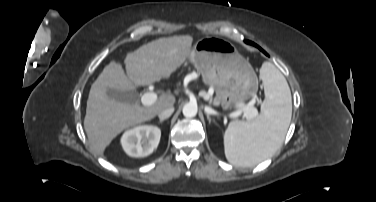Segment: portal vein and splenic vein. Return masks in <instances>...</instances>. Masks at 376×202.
Returning a JSON list of instances; mask_svg holds the SVG:
<instances>
[{
    "instance_id": "1",
    "label": "portal vein and splenic vein",
    "mask_w": 376,
    "mask_h": 202,
    "mask_svg": "<svg viewBox=\"0 0 376 202\" xmlns=\"http://www.w3.org/2000/svg\"><path fill=\"white\" fill-rule=\"evenodd\" d=\"M156 100H157V95L155 93H153V92H147V93L143 94V96L141 98L142 104L145 105V106L152 105ZM246 110L248 112L247 118H250L254 114V112H255L254 109L246 108ZM206 111L209 114H214V110L213 109L206 110ZM230 116L233 117V118L239 116V111L231 113Z\"/></svg>"
}]
</instances>
